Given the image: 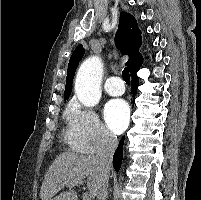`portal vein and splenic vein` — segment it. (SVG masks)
Wrapping results in <instances>:
<instances>
[{
    "label": "portal vein and splenic vein",
    "instance_id": "obj_1",
    "mask_svg": "<svg viewBox=\"0 0 201 200\" xmlns=\"http://www.w3.org/2000/svg\"><path fill=\"white\" fill-rule=\"evenodd\" d=\"M67 186H74V185H83V182H75V181H72V182H69V183H66ZM91 195L89 193H85L83 198L84 200H91Z\"/></svg>",
    "mask_w": 201,
    "mask_h": 200
}]
</instances>
